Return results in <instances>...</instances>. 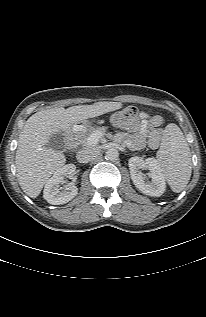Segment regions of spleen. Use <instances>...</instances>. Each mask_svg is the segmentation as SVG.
Returning <instances> with one entry per match:
<instances>
[{
  "instance_id": "3e777b00",
  "label": "spleen",
  "mask_w": 206,
  "mask_h": 317,
  "mask_svg": "<svg viewBox=\"0 0 206 317\" xmlns=\"http://www.w3.org/2000/svg\"><path fill=\"white\" fill-rule=\"evenodd\" d=\"M156 158L171 189L176 193L181 192L190 180L192 163L188 143L176 124L165 127Z\"/></svg>"
}]
</instances>
